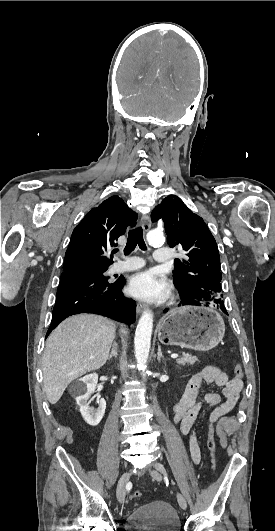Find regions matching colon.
<instances>
[{
	"label": "colon",
	"mask_w": 275,
	"mask_h": 531,
	"mask_svg": "<svg viewBox=\"0 0 275 531\" xmlns=\"http://www.w3.org/2000/svg\"><path fill=\"white\" fill-rule=\"evenodd\" d=\"M234 371L236 376L241 377L243 375V370L241 365L236 364L234 367ZM204 435L207 440V447L210 453V460H211V467L213 470L216 469V458H215V429L214 424H211V426L207 427V429L204 432ZM132 499H138L140 498V490H135V493L131 497Z\"/></svg>",
	"instance_id": "colon-1"
}]
</instances>
